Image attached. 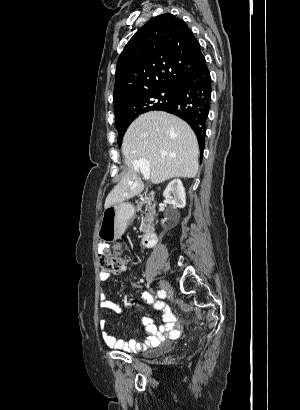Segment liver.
I'll return each instance as SVG.
<instances>
[{"label":"liver","mask_w":300,"mask_h":410,"mask_svg":"<svg viewBox=\"0 0 300 410\" xmlns=\"http://www.w3.org/2000/svg\"><path fill=\"white\" fill-rule=\"evenodd\" d=\"M122 153L127 173L108 194L105 209L122 203L144 189L134 168L140 159L149 161L153 184L174 177L194 178L199 166V146L191 127L179 117L162 111L140 115L127 129Z\"/></svg>","instance_id":"6515ba94"}]
</instances>
